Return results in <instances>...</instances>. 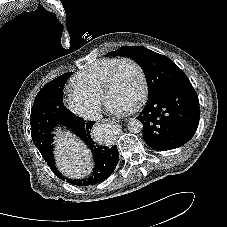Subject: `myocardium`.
I'll return each mask as SVG.
<instances>
[{
	"label": "myocardium",
	"mask_w": 227,
	"mask_h": 227,
	"mask_svg": "<svg viewBox=\"0 0 227 227\" xmlns=\"http://www.w3.org/2000/svg\"><path fill=\"white\" fill-rule=\"evenodd\" d=\"M125 63L132 64L139 72L140 79H141L140 92H139L136 100L134 101V103L131 105V109H135L143 102V100L145 99V97L148 93V78H147L146 72H145L144 68L141 66V64L139 62H137L135 59H132V58L119 59V61L111 68L110 72L108 73V75L104 81L101 97L105 103L108 102L107 101L108 93L114 84V81L116 79L119 69Z\"/></svg>",
	"instance_id": "1"
}]
</instances>
